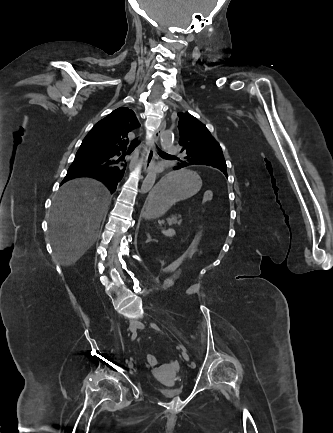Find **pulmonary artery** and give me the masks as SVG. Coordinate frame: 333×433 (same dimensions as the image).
Here are the masks:
<instances>
[{"label":"pulmonary artery","mask_w":333,"mask_h":433,"mask_svg":"<svg viewBox=\"0 0 333 433\" xmlns=\"http://www.w3.org/2000/svg\"><path fill=\"white\" fill-rule=\"evenodd\" d=\"M166 150H167V152L170 153V154H174V153H176V148H175L174 146H168V147L166 148Z\"/></svg>","instance_id":"e3ab8cb5"}]
</instances>
